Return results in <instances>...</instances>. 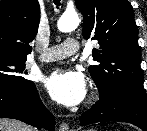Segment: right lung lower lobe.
Wrapping results in <instances>:
<instances>
[{
    "mask_svg": "<svg viewBox=\"0 0 147 131\" xmlns=\"http://www.w3.org/2000/svg\"><path fill=\"white\" fill-rule=\"evenodd\" d=\"M0 118L55 130V118L43 105L34 83L20 88L0 87Z\"/></svg>",
    "mask_w": 147,
    "mask_h": 131,
    "instance_id": "98d812e1",
    "label": "right lung lower lobe"
}]
</instances>
